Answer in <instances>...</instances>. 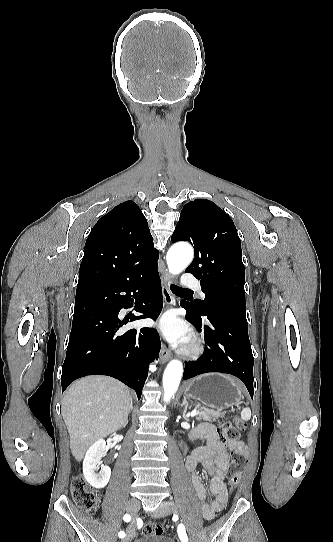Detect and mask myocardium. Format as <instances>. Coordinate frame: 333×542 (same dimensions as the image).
Here are the masks:
<instances>
[{
  "label": "myocardium",
  "mask_w": 333,
  "mask_h": 542,
  "mask_svg": "<svg viewBox=\"0 0 333 542\" xmlns=\"http://www.w3.org/2000/svg\"><path fill=\"white\" fill-rule=\"evenodd\" d=\"M203 353V346L198 336L194 335L183 347L181 354L189 359H196Z\"/></svg>",
  "instance_id": "myocardium-1"
}]
</instances>
